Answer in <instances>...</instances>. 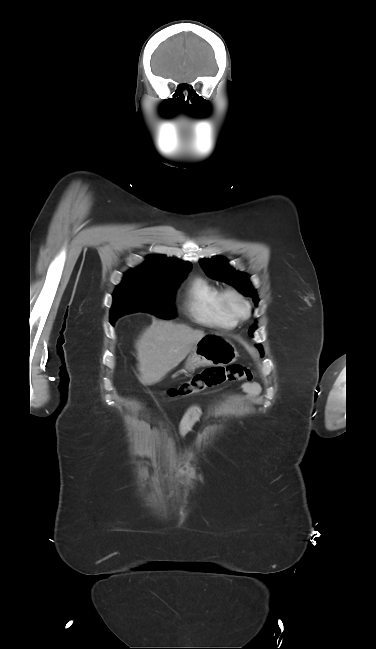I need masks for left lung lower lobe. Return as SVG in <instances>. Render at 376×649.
Masks as SVG:
<instances>
[{
    "instance_id": "obj_1",
    "label": "left lung lower lobe",
    "mask_w": 376,
    "mask_h": 649,
    "mask_svg": "<svg viewBox=\"0 0 376 649\" xmlns=\"http://www.w3.org/2000/svg\"><path fill=\"white\" fill-rule=\"evenodd\" d=\"M258 347H259L260 352L263 353L262 346L258 345Z\"/></svg>"
}]
</instances>
